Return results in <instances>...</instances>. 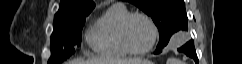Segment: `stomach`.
Returning <instances> with one entry per match:
<instances>
[{"instance_id": "stomach-1", "label": "stomach", "mask_w": 242, "mask_h": 64, "mask_svg": "<svg viewBox=\"0 0 242 64\" xmlns=\"http://www.w3.org/2000/svg\"><path fill=\"white\" fill-rule=\"evenodd\" d=\"M142 64H153V63L150 61H147L146 63H142Z\"/></svg>"}]
</instances>
